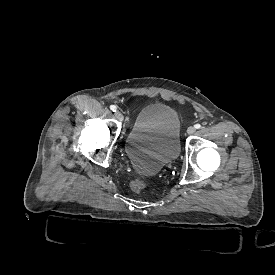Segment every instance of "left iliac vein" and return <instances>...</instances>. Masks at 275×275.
Instances as JSON below:
<instances>
[{
  "label": "left iliac vein",
  "instance_id": "4c4485c4",
  "mask_svg": "<svg viewBox=\"0 0 275 275\" xmlns=\"http://www.w3.org/2000/svg\"><path fill=\"white\" fill-rule=\"evenodd\" d=\"M195 131H196L195 127H194V126H190V127H188V129H187V134H188V135H192V134L195 133Z\"/></svg>",
  "mask_w": 275,
  "mask_h": 275
}]
</instances>
